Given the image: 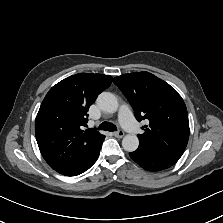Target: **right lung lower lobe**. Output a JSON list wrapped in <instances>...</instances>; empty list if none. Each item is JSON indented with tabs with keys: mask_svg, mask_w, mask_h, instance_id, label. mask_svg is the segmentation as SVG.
Instances as JSON below:
<instances>
[{
	"mask_svg": "<svg viewBox=\"0 0 223 223\" xmlns=\"http://www.w3.org/2000/svg\"><path fill=\"white\" fill-rule=\"evenodd\" d=\"M104 141V139H103ZM102 146V145H101ZM101 146L100 148L98 149L97 153L95 154V156L89 161V163L77 174H81L83 172H85L87 169H89L94 163L95 161L97 160L98 156H99V152H100V149H101Z\"/></svg>",
	"mask_w": 223,
	"mask_h": 223,
	"instance_id": "98d812e1",
	"label": "right lung lower lobe"
}]
</instances>
